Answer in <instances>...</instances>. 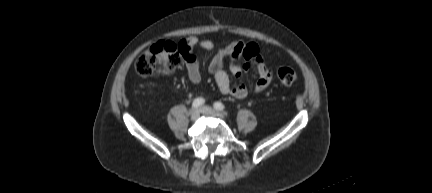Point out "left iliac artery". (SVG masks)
<instances>
[{
	"label": "left iliac artery",
	"instance_id": "left-iliac-artery-1",
	"mask_svg": "<svg viewBox=\"0 0 432 193\" xmlns=\"http://www.w3.org/2000/svg\"><path fill=\"white\" fill-rule=\"evenodd\" d=\"M214 108L217 109V110H224L225 106L221 102H215L214 103Z\"/></svg>",
	"mask_w": 432,
	"mask_h": 193
}]
</instances>
